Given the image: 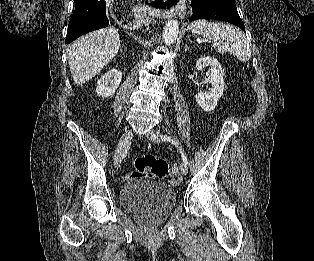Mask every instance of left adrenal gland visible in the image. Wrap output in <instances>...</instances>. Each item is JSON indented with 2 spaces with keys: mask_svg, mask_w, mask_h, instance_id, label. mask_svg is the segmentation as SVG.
Segmentation results:
<instances>
[{
  "mask_svg": "<svg viewBox=\"0 0 314 261\" xmlns=\"http://www.w3.org/2000/svg\"><path fill=\"white\" fill-rule=\"evenodd\" d=\"M188 50V46H187V44H185V52Z\"/></svg>",
  "mask_w": 314,
  "mask_h": 261,
  "instance_id": "1",
  "label": "left adrenal gland"
}]
</instances>
